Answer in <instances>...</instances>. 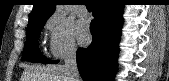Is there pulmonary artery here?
<instances>
[{
	"label": "pulmonary artery",
	"instance_id": "1",
	"mask_svg": "<svg viewBox=\"0 0 169 81\" xmlns=\"http://www.w3.org/2000/svg\"><path fill=\"white\" fill-rule=\"evenodd\" d=\"M77 13L81 16L85 15L87 13V10L84 7H79L77 10Z\"/></svg>",
	"mask_w": 169,
	"mask_h": 81
}]
</instances>
